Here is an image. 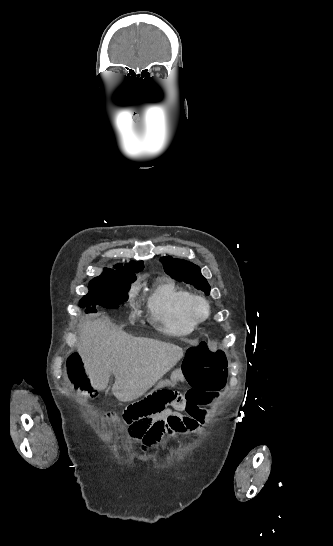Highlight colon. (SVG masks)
I'll return each mask as SVG.
<instances>
[{
	"mask_svg": "<svg viewBox=\"0 0 333 546\" xmlns=\"http://www.w3.org/2000/svg\"><path fill=\"white\" fill-rule=\"evenodd\" d=\"M67 373L70 380L77 385V389L87 391L97 390V385L88 379L84 373V360L80 354L68 357ZM227 358L223 350L212 342L202 341L188 349L183 371L187 372L186 379L192 386L185 399L192 403L200 400V394L221 390L227 380ZM179 396L170 390H161L142 396L139 400H129L124 406L123 418H134L136 422H145L147 418H154L167 405L181 404Z\"/></svg>",
	"mask_w": 333,
	"mask_h": 546,
	"instance_id": "obj_1",
	"label": "colon"
}]
</instances>
